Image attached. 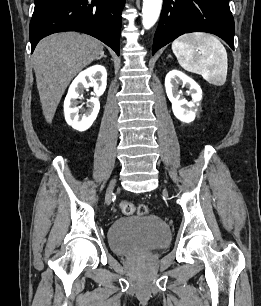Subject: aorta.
<instances>
[{"label":"aorta","instance_id":"1","mask_svg":"<svg viewBox=\"0 0 261 306\" xmlns=\"http://www.w3.org/2000/svg\"><path fill=\"white\" fill-rule=\"evenodd\" d=\"M162 0H143L142 24L145 29H150L158 20Z\"/></svg>","mask_w":261,"mask_h":306}]
</instances>
